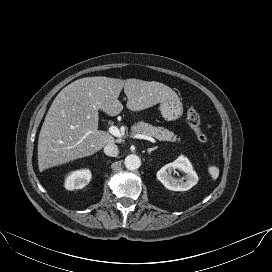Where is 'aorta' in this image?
Masks as SVG:
<instances>
[{
	"label": "aorta",
	"instance_id": "762f6f07",
	"mask_svg": "<svg viewBox=\"0 0 272 272\" xmlns=\"http://www.w3.org/2000/svg\"><path fill=\"white\" fill-rule=\"evenodd\" d=\"M124 164L128 170H136L141 166V159L136 154H130L125 158Z\"/></svg>",
	"mask_w": 272,
	"mask_h": 272
}]
</instances>
